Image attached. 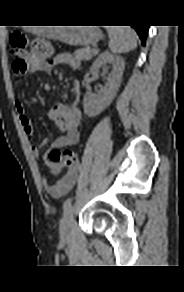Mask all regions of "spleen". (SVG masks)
Instances as JSON below:
<instances>
[{"label":"spleen","instance_id":"1","mask_svg":"<svg viewBox=\"0 0 184 292\" xmlns=\"http://www.w3.org/2000/svg\"><path fill=\"white\" fill-rule=\"evenodd\" d=\"M109 48L112 53L121 54L137 47V35L130 27H107Z\"/></svg>","mask_w":184,"mask_h":292}]
</instances>
